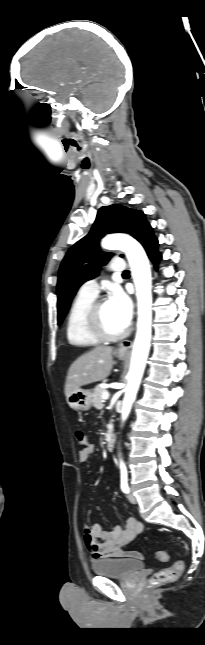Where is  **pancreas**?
I'll return each instance as SVG.
<instances>
[{
  "label": "pancreas",
  "instance_id": "obj_1",
  "mask_svg": "<svg viewBox=\"0 0 205 645\" xmlns=\"http://www.w3.org/2000/svg\"><path fill=\"white\" fill-rule=\"evenodd\" d=\"M105 391L106 390L104 388H102L100 385H98V386H96L94 388L93 393H92V403H93V406L96 409H102V407H103L102 394Z\"/></svg>",
  "mask_w": 205,
  "mask_h": 645
}]
</instances>
